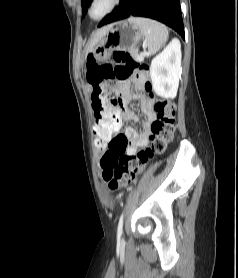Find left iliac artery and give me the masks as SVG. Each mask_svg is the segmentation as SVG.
<instances>
[{
	"instance_id": "1",
	"label": "left iliac artery",
	"mask_w": 238,
	"mask_h": 278,
	"mask_svg": "<svg viewBox=\"0 0 238 278\" xmlns=\"http://www.w3.org/2000/svg\"><path fill=\"white\" fill-rule=\"evenodd\" d=\"M122 227H123V213L121 214L119 223H118V230H117L118 237H120L122 235Z\"/></svg>"
}]
</instances>
